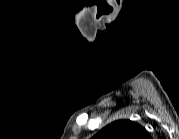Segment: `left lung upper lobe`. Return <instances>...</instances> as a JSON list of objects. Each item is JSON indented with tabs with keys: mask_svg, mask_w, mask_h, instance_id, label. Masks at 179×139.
I'll list each match as a JSON object with an SVG mask.
<instances>
[{
	"mask_svg": "<svg viewBox=\"0 0 179 139\" xmlns=\"http://www.w3.org/2000/svg\"><path fill=\"white\" fill-rule=\"evenodd\" d=\"M96 136L105 139H145L149 134L134 121L118 120L104 127Z\"/></svg>",
	"mask_w": 179,
	"mask_h": 139,
	"instance_id": "left-lung-upper-lobe-1",
	"label": "left lung upper lobe"
}]
</instances>
